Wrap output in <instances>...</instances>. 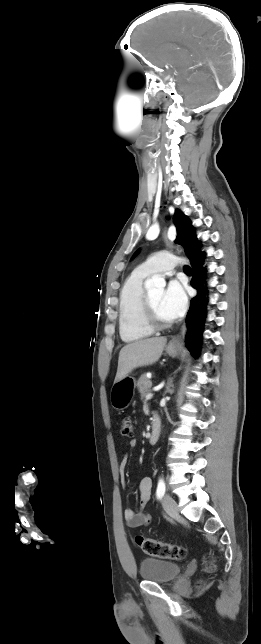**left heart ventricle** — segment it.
Instances as JSON below:
<instances>
[{"label":"left heart ventricle","instance_id":"left-heart-ventricle-1","mask_svg":"<svg viewBox=\"0 0 261 644\" xmlns=\"http://www.w3.org/2000/svg\"><path fill=\"white\" fill-rule=\"evenodd\" d=\"M149 296L151 298L152 304L154 306V310L156 315L158 316L159 319L163 321H170L171 319L165 312L163 305H162V298H163V289H155L151 290L148 292Z\"/></svg>","mask_w":261,"mask_h":644}]
</instances>
